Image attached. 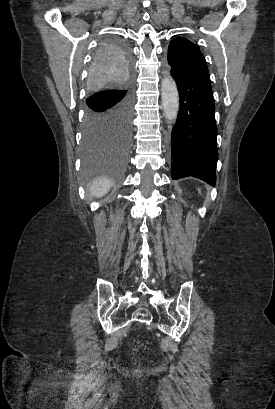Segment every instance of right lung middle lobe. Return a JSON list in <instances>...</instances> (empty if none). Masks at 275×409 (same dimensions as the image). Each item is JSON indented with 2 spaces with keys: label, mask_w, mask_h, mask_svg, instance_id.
Wrapping results in <instances>:
<instances>
[{
  "label": "right lung middle lobe",
  "mask_w": 275,
  "mask_h": 409,
  "mask_svg": "<svg viewBox=\"0 0 275 409\" xmlns=\"http://www.w3.org/2000/svg\"><path fill=\"white\" fill-rule=\"evenodd\" d=\"M134 50L118 37L102 38L93 55L87 80V99L81 156L83 182L102 173L122 182L132 142ZM92 188L119 184L92 183Z\"/></svg>",
  "instance_id": "obj_1"
}]
</instances>
